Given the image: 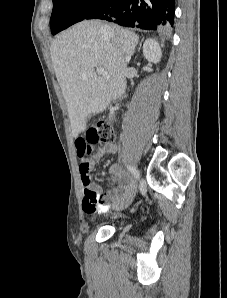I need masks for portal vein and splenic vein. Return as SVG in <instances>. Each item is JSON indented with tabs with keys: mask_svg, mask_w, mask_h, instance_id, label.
I'll return each mask as SVG.
<instances>
[{
	"mask_svg": "<svg viewBox=\"0 0 227 298\" xmlns=\"http://www.w3.org/2000/svg\"><path fill=\"white\" fill-rule=\"evenodd\" d=\"M96 72H97L98 75H100V76H102L104 78H107L108 79L110 77L109 74L105 71L104 68H97L96 69Z\"/></svg>",
	"mask_w": 227,
	"mask_h": 298,
	"instance_id": "1",
	"label": "portal vein and splenic vein"
}]
</instances>
